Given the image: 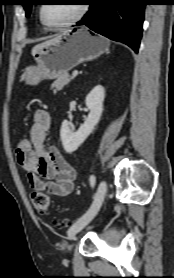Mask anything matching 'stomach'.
I'll return each mask as SVG.
<instances>
[{
  "label": "stomach",
  "instance_id": "0dacf381",
  "mask_svg": "<svg viewBox=\"0 0 174 278\" xmlns=\"http://www.w3.org/2000/svg\"><path fill=\"white\" fill-rule=\"evenodd\" d=\"M109 41L86 27L63 33L33 53L34 65L21 76L26 84L37 85L44 79H56L77 65L96 59L108 51Z\"/></svg>",
  "mask_w": 174,
  "mask_h": 278
}]
</instances>
